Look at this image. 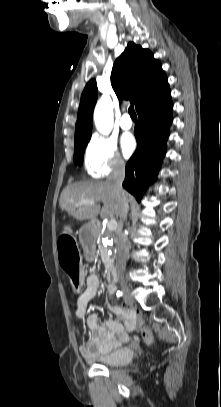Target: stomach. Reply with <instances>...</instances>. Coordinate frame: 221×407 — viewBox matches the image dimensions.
Masks as SVG:
<instances>
[{
	"mask_svg": "<svg viewBox=\"0 0 221 407\" xmlns=\"http://www.w3.org/2000/svg\"><path fill=\"white\" fill-rule=\"evenodd\" d=\"M85 227H86V228H90V227H91V225H90V224H88V225H86Z\"/></svg>",
	"mask_w": 221,
	"mask_h": 407,
	"instance_id": "1",
	"label": "stomach"
}]
</instances>
